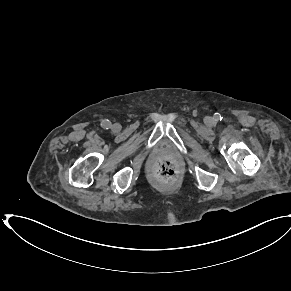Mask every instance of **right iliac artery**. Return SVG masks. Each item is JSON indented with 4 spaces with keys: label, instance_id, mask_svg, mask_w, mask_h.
<instances>
[{
    "label": "right iliac artery",
    "instance_id": "82829eb1",
    "mask_svg": "<svg viewBox=\"0 0 291 291\" xmlns=\"http://www.w3.org/2000/svg\"><path fill=\"white\" fill-rule=\"evenodd\" d=\"M101 126L104 128V129H109L111 128V122L109 120H103L101 122Z\"/></svg>",
    "mask_w": 291,
    "mask_h": 291
}]
</instances>
